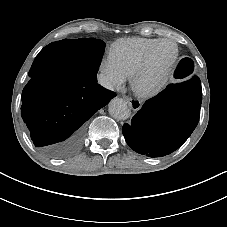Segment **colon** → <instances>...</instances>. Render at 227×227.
Here are the masks:
<instances>
[{"mask_svg":"<svg viewBox=\"0 0 227 227\" xmlns=\"http://www.w3.org/2000/svg\"><path fill=\"white\" fill-rule=\"evenodd\" d=\"M190 66V61L189 60H182L181 63L179 64L177 71L183 72L185 71L188 67Z\"/></svg>","mask_w":227,"mask_h":227,"instance_id":"colon-1","label":"colon"}]
</instances>
